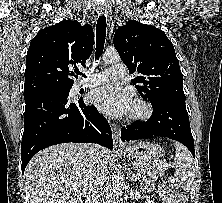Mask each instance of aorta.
Here are the masks:
<instances>
[{
	"label": "aorta",
	"instance_id": "aorta-1",
	"mask_svg": "<svg viewBox=\"0 0 222 203\" xmlns=\"http://www.w3.org/2000/svg\"><path fill=\"white\" fill-rule=\"evenodd\" d=\"M103 62L105 64L117 63L120 59L119 54L116 51H107L103 54ZM113 192L117 195L121 194L124 188V177L118 168H115L111 175Z\"/></svg>",
	"mask_w": 222,
	"mask_h": 203
}]
</instances>
